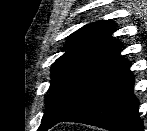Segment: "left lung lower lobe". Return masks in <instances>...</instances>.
Instances as JSON below:
<instances>
[{"label": "left lung lower lobe", "instance_id": "1", "mask_svg": "<svg viewBox=\"0 0 147 131\" xmlns=\"http://www.w3.org/2000/svg\"><path fill=\"white\" fill-rule=\"evenodd\" d=\"M128 61L107 78L85 103L63 122H77L110 131H143L139 101Z\"/></svg>", "mask_w": 147, "mask_h": 131}]
</instances>
